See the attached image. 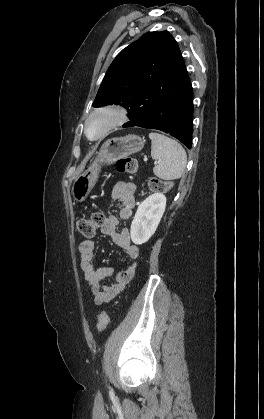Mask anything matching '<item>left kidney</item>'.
Returning a JSON list of instances; mask_svg holds the SVG:
<instances>
[{
	"label": "left kidney",
	"mask_w": 264,
	"mask_h": 419,
	"mask_svg": "<svg viewBox=\"0 0 264 419\" xmlns=\"http://www.w3.org/2000/svg\"><path fill=\"white\" fill-rule=\"evenodd\" d=\"M166 208V197L154 193L147 197L137 209L131 224V239L136 245L147 242L155 233Z\"/></svg>",
	"instance_id": "5707ae66"
}]
</instances>
